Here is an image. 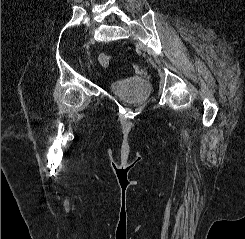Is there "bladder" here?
<instances>
[{"instance_id": "31cf9c89", "label": "bladder", "mask_w": 245, "mask_h": 239, "mask_svg": "<svg viewBox=\"0 0 245 239\" xmlns=\"http://www.w3.org/2000/svg\"><path fill=\"white\" fill-rule=\"evenodd\" d=\"M110 91L132 103H144L150 97L152 86L135 79L115 80L109 83Z\"/></svg>"}]
</instances>
